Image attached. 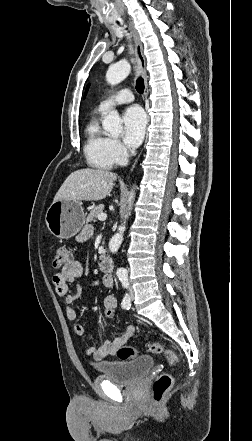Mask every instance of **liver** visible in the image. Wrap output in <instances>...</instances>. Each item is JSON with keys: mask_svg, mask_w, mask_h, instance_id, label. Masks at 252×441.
Listing matches in <instances>:
<instances>
[{"mask_svg": "<svg viewBox=\"0 0 252 441\" xmlns=\"http://www.w3.org/2000/svg\"><path fill=\"white\" fill-rule=\"evenodd\" d=\"M117 174L102 169H80L72 172L61 185L54 201H99L106 198L113 188Z\"/></svg>", "mask_w": 252, "mask_h": 441, "instance_id": "liver-1", "label": "liver"}]
</instances>
